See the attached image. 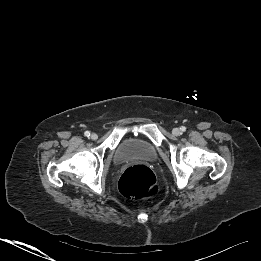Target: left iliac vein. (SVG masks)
<instances>
[{
  "instance_id": "4c4485c4",
  "label": "left iliac vein",
  "mask_w": 261,
  "mask_h": 261,
  "mask_svg": "<svg viewBox=\"0 0 261 261\" xmlns=\"http://www.w3.org/2000/svg\"><path fill=\"white\" fill-rule=\"evenodd\" d=\"M172 133H173V135L178 136V135L181 134V131H180L179 128H174V129L172 130Z\"/></svg>"
}]
</instances>
